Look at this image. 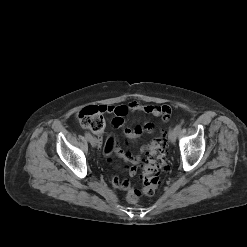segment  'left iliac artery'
<instances>
[{"label":"left iliac artery","instance_id":"44dca946","mask_svg":"<svg viewBox=\"0 0 247 247\" xmlns=\"http://www.w3.org/2000/svg\"><path fill=\"white\" fill-rule=\"evenodd\" d=\"M175 129L179 132V131L181 130V125L178 124V125L175 127Z\"/></svg>","mask_w":247,"mask_h":247}]
</instances>
